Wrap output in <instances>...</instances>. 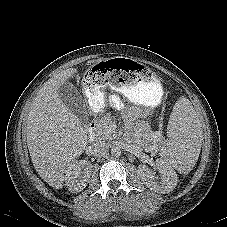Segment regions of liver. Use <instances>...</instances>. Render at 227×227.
Wrapping results in <instances>:
<instances>
[{
  "label": "liver",
  "mask_w": 227,
  "mask_h": 227,
  "mask_svg": "<svg viewBox=\"0 0 227 227\" xmlns=\"http://www.w3.org/2000/svg\"><path fill=\"white\" fill-rule=\"evenodd\" d=\"M77 73L76 68L61 71L40 89L26 120V137L35 170L49 186L60 189L64 173L88 143L87 130L78 116L59 97L61 85Z\"/></svg>",
  "instance_id": "liver-1"
}]
</instances>
